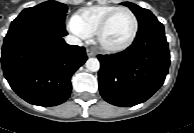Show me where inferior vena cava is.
<instances>
[{"mask_svg": "<svg viewBox=\"0 0 194 133\" xmlns=\"http://www.w3.org/2000/svg\"><path fill=\"white\" fill-rule=\"evenodd\" d=\"M65 41L71 45H81L82 44V42L78 38L72 35L66 36Z\"/></svg>", "mask_w": 194, "mask_h": 133, "instance_id": "1", "label": "inferior vena cava"}]
</instances>
